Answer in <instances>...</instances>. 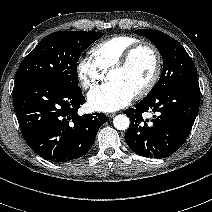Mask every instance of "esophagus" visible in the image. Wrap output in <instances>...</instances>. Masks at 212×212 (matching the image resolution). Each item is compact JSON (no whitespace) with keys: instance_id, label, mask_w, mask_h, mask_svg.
Wrapping results in <instances>:
<instances>
[{"instance_id":"1","label":"esophagus","mask_w":212,"mask_h":212,"mask_svg":"<svg viewBox=\"0 0 212 212\" xmlns=\"http://www.w3.org/2000/svg\"><path fill=\"white\" fill-rule=\"evenodd\" d=\"M115 115H116V113H108V114H107V117L112 118V117H114Z\"/></svg>"}]
</instances>
